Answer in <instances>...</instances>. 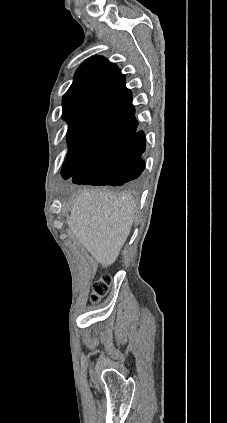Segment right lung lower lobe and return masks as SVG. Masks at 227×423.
<instances>
[{"label": "right lung lower lobe", "instance_id": "obj_1", "mask_svg": "<svg viewBox=\"0 0 227 423\" xmlns=\"http://www.w3.org/2000/svg\"><path fill=\"white\" fill-rule=\"evenodd\" d=\"M133 113L134 108L130 100L107 110L104 118L111 121H125L137 128L138 123ZM144 150V133L136 132L127 139L92 154L71 176L72 182L93 186H122L137 178L143 171L144 161L140 157ZM62 176L64 179L70 178L66 163L62 169Z\"/></svg>", "mask_w": 227, "mask_h": 423}]
</instances>
